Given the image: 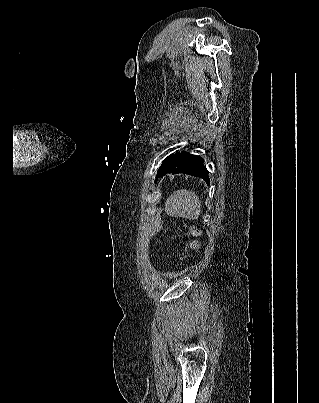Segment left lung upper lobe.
<instances>
[{
  "instance_id": "1",
  "label": "left lung upper lobe",
  "mask_w": 319,
  "mask_h": 403,
  "mask_svg": "<svg viewBox=\"0 0 319 403\" xmlns=\"http://www.w3.org/2000/svg\"><path fill=\"white\" fill-rule=\"evenodd\" d=\"M173 157V154L169 155L168 157H166L164 159V161L162 162V165L160 167V169L158 170V174H157V178L160 177L162 175V173L164 172V170L166 169V167L168 166V164L170 163L171 159Z\"/></svg>"
}]
</instances>
